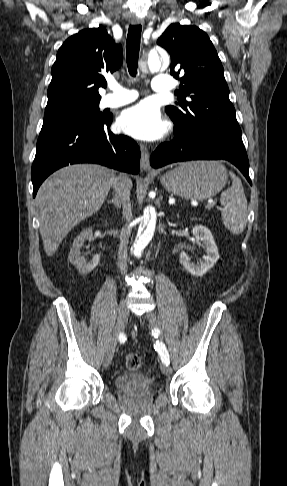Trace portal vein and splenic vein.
<instances>
[{
    "mask_svg": "<svg viewBox=\"0 0 287 486\" xmlns=\"http://www.w3.org/2000/svg\"><path fill=\"white\" fill-rule=\"evenodd\" d=\"M214 206H215V202H214V201H212V200H210V201L208 202V205L206 206V208H211V207H214Z\"/></svg>",
    "mask_w": 287,
    "mask_h": 486,
    "instance_id": "1",
    "label": "portal vein and splenic vein"
}]
</instances>
